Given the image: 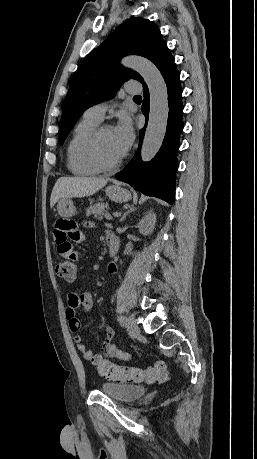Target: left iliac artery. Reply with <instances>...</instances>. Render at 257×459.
<instances>
[{
    "instance_id": "left-iliac-artery-1",
    "label": "left iliac artery",
    "mask_w": 257,
    "mask_h": 459,
    "mask_svg": "<svg viewBox=\"0 0 257 459\" xmlns=\"http://www.w3.org/2000/svg\"><path fill=\"white\" fill-rule=\"evenodd\" d=\"M119 321H120L121 326H123V327H128L129 326L128 319L124 315H121L119 317Z\"/></svg>"
}]
</instances>
